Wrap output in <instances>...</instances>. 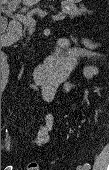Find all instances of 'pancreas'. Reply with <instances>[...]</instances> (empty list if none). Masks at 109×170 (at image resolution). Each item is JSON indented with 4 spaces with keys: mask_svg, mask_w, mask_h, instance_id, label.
Segmentation results:
<instances>
[{
    "mask_svg": "<svg viewBox=\"0 0 109 170\" xmlns=\"http://www.w3.org/2000/svg\"><path fill=\"white\" fill-rule=\"evenodd\" d=\"M85 13L91 14V11L87 10L85 7H76L74 5H68V6H63L61 12L58 13V16L61 17H66L67 15H69L71 18L76 17V16H80L83 15ZM28 31L29 34L32 33V29L31 28H26L25 27V31Z\"/></svg>",
    "mask_w": 109,
    "mask_h": 170,
    "instance_id": "cf45deb5",
    "label": "pancreas"
}]
</instances>
